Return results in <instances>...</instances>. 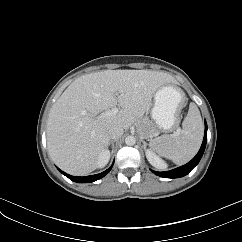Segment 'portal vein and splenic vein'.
Segmentation results:
<instances>
[{"instance_id": "18ae733b", "label": "portal vein and splenic vein", "mask_w": 242, "mask_h": 242, "mask_svg": "<svg viewBox=\"0 0 242 242\" xmlns=\"http://www.w3.org/2000/svg\"><path fill=\"white\" fill-rule=\"evenodd\" d=\"M117 113H118V108L117 107H113L112 110H110L108 112H105L102 115L108 116V115H115ZM179 132H180V130L178 129L177 133H179Z\"/></svg>"}]
</instances>
